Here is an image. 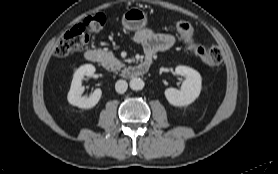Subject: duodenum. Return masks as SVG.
I'll return each mask as SVG.
<instances>
[{"label":"duodenum","instance_id":"duodenum-1","mask_svg":"<svg viewBox=\"0 0 278 174\" xmlns=\"http://www.w3.org/2000/svg\"><path fill=\"white\" fill-rule=\"evenodd\" d=\"M85 58L89 62L95 63L99 60V52L94 49H89L85 52ZM151 63H152L151 58L147 57L137 65L126 68L123 71V74L128 78L141 76L149 70Z\"/></svg>","mask_w":278,"mask_h":174}]
</instances>
